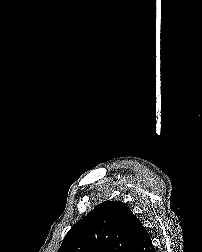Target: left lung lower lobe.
Masks as SVG:
<instances>
[{
    "label": "left lung lower lobe",
    "instance_id": "1",
    "mask_svg": "<svg viewBox=\"0 0 202 252\" xmlns=\"http://www.w3.org/2000/svg\"><path fill=\"white\" fill-rule=\"evenodd\" d=\"M133 252H156L151 238L142 223L138 229L137 241Z\"/></svg>",
    "mask_w": 202,
    "mask_h": 252
}]
</instances>
